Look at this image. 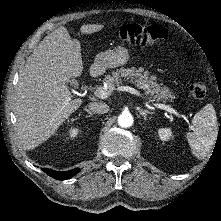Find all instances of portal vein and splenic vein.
<instances>
[{"label":"portal vein and splenic vein","mask_w":221,"mask_h":221,"mask_svg":"<svg viewBox=\"0 0 221 221\" xmlns=\"http://www.w3.org/2000/svg\"><path fill=\"white\" fill-rule=\"evenodd\" d=\"M117 90L130 92L131 94H135V95H138V96L142 95V94H140V92L138 90H136L135 88H132L130 86H120V87L117 88ZM94 95L98 98L105 99L110 95V91H105V90L99 88V89L94 91ZM149 102H152V101L149 100ZM154 106H156L159 109L165 110V111H167L171 114H174L178 117H182L183 119L186 120V122L188 123V126L190 128H192L189 121L184 116L180 115L175 109L171 108L170 106L165 105V104H160V103H154Z\"/></svg>","instance_id":"18ae733b"}]
</instances>
